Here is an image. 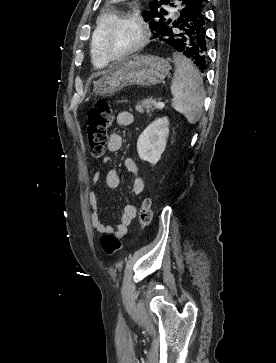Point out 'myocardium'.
Returning <instances> with one entry per match:
<instances>
[{"instance_id": "f54148a6", "label": "myocardium", "mask_w": 276, "mask_h": 363, "mask_svg": "<svg viewBox=\"0 0 276 363\" xmlns=\"http://www.w3.org/2000/svg\"><path fill=\"white\" fill-rule=\"evenodd\" d=\"M121 22H130V23L134 24L138 29V38H137L136 42L130 48H128L126 51H124L123 53H121L119 55L112 56V55H109V53L107 52V50L104 47V43H103L104 36L115 25H117L118 23H121ZM148 37H149L148 25H147L146 21L140 15L135 14V13H121V14L114 15V17L108 22V24L101 31L100 36H99V49H100L101 55L108 63L119 62V61L124 60L125 58H128L129 56L133 55L134 53L138 52L139 50H141L147 43Z\"/></svg>"}]
</instances>
